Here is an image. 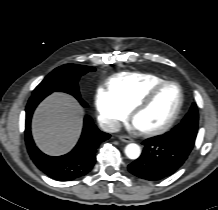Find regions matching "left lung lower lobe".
Here are the masks:
<instances>
[{"label":"left lung lower lobe","mask_w":218,"mask_h":210,"mask_svg":"<svg viewBox=\"0 0 218 210\" xmlns=\"http://www.w3.org/2000/svg\"><path fill=\"white\" fill-rule=\"evenodd\" d=\"M180 133L167 134L143 142L141 156L128 166L133 175L146 180H160L177 171L187 159L195 140L192 132L178 128Z\"/></svg>","instance_id":"0a47b994"}]
</instances>
